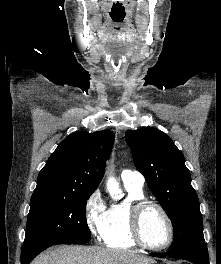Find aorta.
<instances>
[{
  "label": "aorta",
  "instance_id": "aorta-1",
  "mask_svg": "<svg viewBox=\"0 0 221 264\" xmlns=\"http://www.w3.org/2000/svg\"><path fill=\"white\" fill-rule=\"evenodd\" d=\"M118 188V183L114 177H109L107 181V189L108 190H115Z\"/></svg>",
  "mask_w": 221,
  "mask_h": 264
}]
</instances>
